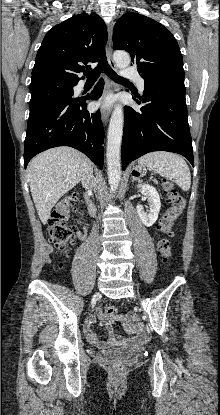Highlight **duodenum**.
Listing matches in <instances>:
<instances>
[{"label":"duodenum","mask_w":220,"mask_h":415,"mask_svg":"<svg viewBox=\"0 0 220 415\" xmlns=\"http://www.w3.org/2000/svg\"><path fill=\"white\" fill-rule=\"evenodd\" d=\"M87 205H88L89 213L92 216H94L96 214V211H97V207H96L95 203L90 198H87Z\"/></svg>","instance_id":"obj_1"}]
</instances>
